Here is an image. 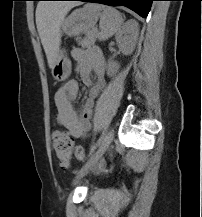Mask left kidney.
Listing matches in <instances>:
<instances>
[{"label": "left kidney", "mask_w": 202, "mask_h": 217, "mask_svg": "<svg viewBox=\"0 0 202 217\" xmlns=\"http://www.w3.org/2000/svg\"><path fill=\"white\" fill-rule=\"evenodd\" d=\"M139 34L138 23L134 20L127 21L116 35V42L124 55H130L136 46ZM119 64L110 60L107 64V74L113 76L119 69Z\"/></svg>", "instance_id": "5707ae66"}]
</instances>
